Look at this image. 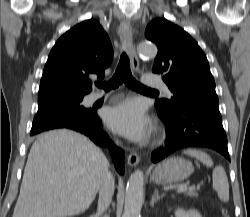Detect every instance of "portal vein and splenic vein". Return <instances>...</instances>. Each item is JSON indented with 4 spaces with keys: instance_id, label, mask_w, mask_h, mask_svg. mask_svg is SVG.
I'll return each instance as SVG.
<instances>
[{
    "instance_id": "18ae733b",
    "label": "portal vein and splenic vein",
    "mask_w": 250,
    "mask_h": 217,
    "mask_svg": "<svg viewBox=\"0 0 250 217\" xmlns=\"http://www.w3.org/2000/svg\"><path fill=\"white\" fill-rule=\"evenodd\" d=\"M196 186H189L188 184H182L177 188V192L187 191L189 189H195Z\"/></svg>"
}]
</instances>
